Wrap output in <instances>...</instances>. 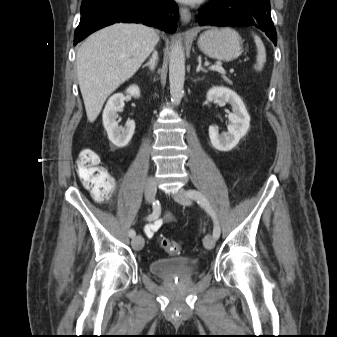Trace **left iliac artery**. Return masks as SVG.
I'll list each match as a JSON object with an SVG mask.
<instances>
[{
  "mask_svg": "<svg viewBox=\"0 0 337 337\" xmlns=\"http://www.w3.org/2000/svg\"><path fill=\"white\" fill-rule=\"evenodd\" d=\"M187 195L190 198L194 199L203 208H205L206 211L209 213V215L212 217L213 222H214L213 236L215 239H218L220 237L221 229H220L216 214L211 208L207 199L199 191H196L194 189L188 190Z\"/></svg>",
  "mask_w": 337,
  "mask_h": 337,
  "instance_id": "44dca946",
  "label": "left iliac artery"
}]
</instances>
